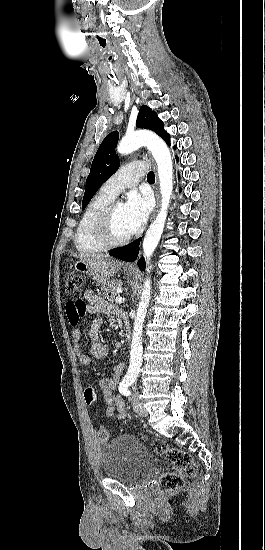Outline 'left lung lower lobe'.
Segmentation results:
<instances>
[{
    "label": "left lung lower lobe",
    "instance_id": "obj_1",
    "mask_svg": "<svg viewBox=\"0 0 265 550\" xmlns=\"http://www.w3.org/2000/svg\"><path fill=\"white\" fill-rule=\"evenodd\" d=\"M175 148H176V146H174V149ZM176 160L178 161L177 156H176ZM140 240L141 239H138V240L132 242L131 244H128V245L120 247V248H116L110 253V255L113 256V257L119 258L121 260H124V261L133 262L137 259ZM137 264H138V266L141 270H145L146 265H145V261H144L143 257L139 259Z\"/></svg>",
    "mask_w": 265,
    "mask_h": 550
}]
</instances>
